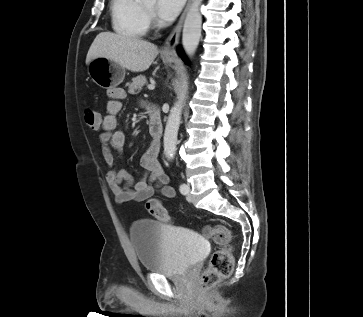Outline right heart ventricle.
<instances>
[{
	"mask_svg": "<svg viewBox=\"0 0 363 317\" xmlns=\"http://www.w3.org/2000/svg\"><path fill=\"white\" fill-rule=\"evenodd\" d=\"M114 31L125 37L141 38L148 32V19L141 0H111Z\"/></svg>",
	"mask_w": 363,
	"mask_h": 317,
	"instance_id": "e07e8e85",
	"label": "right heart ventricle"
}]
</instances>
